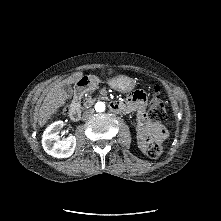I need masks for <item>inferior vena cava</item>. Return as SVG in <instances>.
<instances>
[{"label":"inferior vena cava","instance_id":"inferior-vena-cava-1","mask_svg":"<svg viewBox=\"0 0 221 221\" xmlns=\"http://www.w3.org/2000/svg\"><path fill=\"white\" fill-rule=\"evenodd\" d=\"M94 113V109H88L83 113V119L89 118Z\"/></svg>","mask_w":221,"mask_h":221}]
</instances>
